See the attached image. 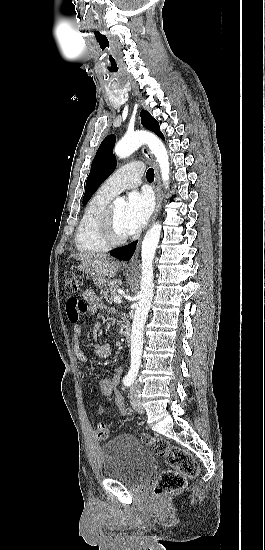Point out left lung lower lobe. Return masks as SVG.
Returning <instances> with one entry per match:
<instances>
[{"instance_id":"left-lung-lower-lobe-1","label":"left lung lower lobe","mask_w":265,"mask_h":550,"mask_svg":"<svg viewBox=\"0 0 265 550\" xmlns=\"http://www.w3.org/2000/svg\"><path fill=\"white\" fill-rule=\"evenodd\" d=\"M136 244H137V241L127 246L115 249L110 255L116 258H119L121 260H129L135 250Z\"/></svg>"}]
</instances>
